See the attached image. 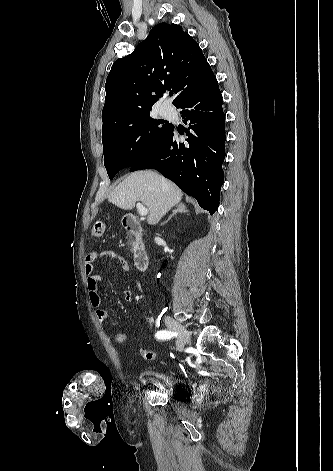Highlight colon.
<instances>
[{
	"label": "colon",
	"instance_id": "obj_1",
	"mask_svg": "<svg viewBox=\"0 0 333 471\" xmlns=\"http://www.w3.org/2000/svg\"><path fill=\"white\" fill-rule=\"evenodd\" d=\"M106 227L104 223L97 222L91 230L93 237L100 238L104 235ZM114 341L118 345H125L128 342V336L123 332H117L114 335ZM143 358L147 361H152L156 358V353L151 350H142Z\"/></svg>",
	"mask_w": 333,
	"mask_h": 471
}]
</instances>
